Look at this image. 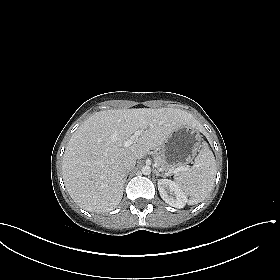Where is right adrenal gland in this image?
Here are the masks:
<instances>
[{"label":"right adrenal gland","mask_w":280,"mask_h":280,"mask_svg":"<svg viewBox=\"0 0 280 280\" xmlns=\"http://www.w3.org/2000/svg\"><path fill=\"white\" fill-rule=\"evenodd\" d=\"M128 174H129V172H127V173H126V176H125V181H124V183L126 182V179H127V177H128Z\"/></svg>","instance_id":"2a0ac1e0"}]
</instances>
